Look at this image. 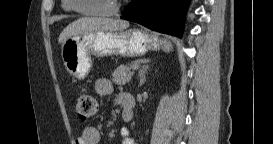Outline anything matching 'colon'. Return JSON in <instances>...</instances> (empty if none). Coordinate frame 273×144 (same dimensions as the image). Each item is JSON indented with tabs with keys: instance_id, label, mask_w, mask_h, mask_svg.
Here are the masks:
<instances>
[{
	"instance_id": "1",
	"label": "colon",
	"mask_w": 273,
	"mask_h": 144,
	"mask_svg": "<svg viewBox=\"0 0 273 144\" xmlns=\"http://www.w3.org/2000/svg\"><path fill=\"white\" fill-rule=\"evenodd\" d=\"M97 100L92 91L80 88L77 95L76 113L79 118L86 120L97 112Z\"/></svg>"
}]
</instances>
